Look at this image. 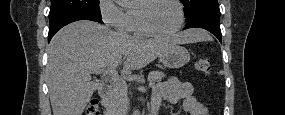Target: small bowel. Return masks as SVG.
Segmentation results:
<instances>
[{
    "label": "small bowel",
    "mask_w": 285,
    "mask_h": 115,
    "mask_svg": "<svg viewBox=\"0 0 285 115\" xmlns=\"http://www.w3.org/2000/svg\"><path fill=\"white\" fill-rule=\"evenodd\" d=\"M163 102L172 104L182 102L188 115H208V109L197 100L193 94V86L190 82H182L176 78H170L157 84L154 89L151 108L158 114Z\"/></svg>",
    "instance_id": "1"
}]
</instances>
